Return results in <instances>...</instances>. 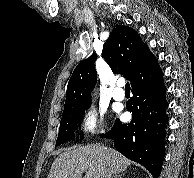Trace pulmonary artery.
<instances>
[{"label":"pulmonary artery","mask_w":194,"mask_h":178,"mask_svg":"<svg viewBox=\"0 0 194 178\" xmlns=\"http://www.w3.org/2000/svg\"><path fill=\"white\" fill-rule=\"evenodd\" d=\"M123 86V82H118L116 88L114 89L113 93H112V97L116 100V101H122L125 97L124 91L122 89Z\"/></svg>","instance_id":"e3ab8cb5"}]
</instances>
